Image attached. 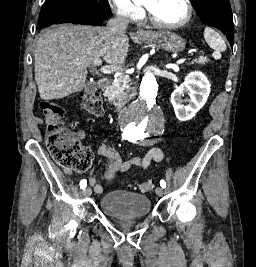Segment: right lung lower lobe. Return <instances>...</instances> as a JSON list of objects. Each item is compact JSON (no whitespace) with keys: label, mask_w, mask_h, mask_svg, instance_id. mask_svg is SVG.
<instances>
[{"label":"right lung lower lobe","mask_w":256,"mask_h":267,"mask_svg":"<svg viewBox=\"0 0 256 267\" xmlns=\"http://www.w3.org/2000/svg\"><path fill=\"white\" fill-rule=\"evenodd\" d=\"M105 18L92 17L89 15H80L73 17H59L55 20L39 24L41 28L48 27L52 24H61V23H75V24H86V25H100Z\"/></svg>","instance_id":"1"}]
</instances>
